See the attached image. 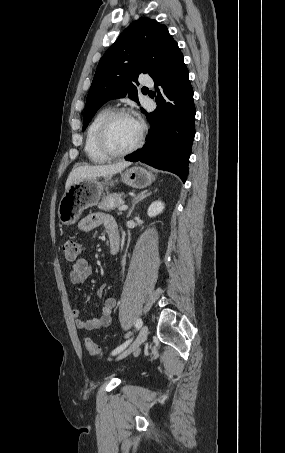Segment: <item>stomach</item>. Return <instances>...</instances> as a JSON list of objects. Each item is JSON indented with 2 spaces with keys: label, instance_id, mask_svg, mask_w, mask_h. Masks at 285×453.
I'll list each match as a JSON object with an SVG mask.
<instances>
[{
  "label": "stomach",
  "instance_id": "1",
  "mask_svg": "<svg viewBox=\"0 0 285 453\" xmlns=\"http://www.w3.org/2000/svg\"><path fill=\"white\" fill-rule=\"evenodd\" d=\"M121 180L132 188L143 189L155 181V176L152 172L135 166L122 172ZM113 184L112 176L104 177V181L94 178L72 183L60 200L58 207L59 221L67 226L75 224L83 210L95 206L102 196L104 188Z\"/></svg>",
  "mask_w": 285,
  "mask_h": 453
}]
</instances>
